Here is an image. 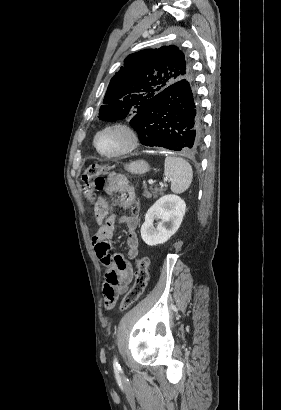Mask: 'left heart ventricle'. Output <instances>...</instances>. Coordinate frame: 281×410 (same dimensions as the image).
<instances>
[{
    "instance_id": "1",
    "label": "left heart ventricle",
    "mask_w": 281,
    "mask_h": 410,
    "mask_svg": "<svg viewBox=\"0 0 281 410\" xmlns=\"http://www.w3.org/2000/svg\"><path fill=\"white\" fill-rule=\"evenodd\" d=\"M98 147L106 153L120 151L126 146L127 139L120 131H106L98 137Z\"/></svg>"
}]
</instances>
